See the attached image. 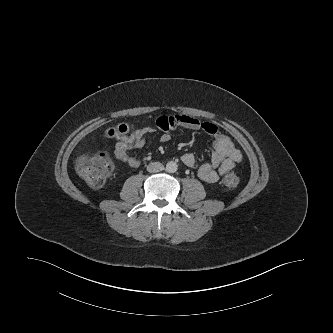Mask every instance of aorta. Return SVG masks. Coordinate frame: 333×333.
<instances>
[{
  "label": "aorta",
  "instance_id": "762f6f07",
  "mask_svg": "<svg viewBox=\"0 0 333 333\" xmlns=\"http://www.w3.org/2000/svg\"><path fill=\"white\" fill-rule=\"evenodd\" d=\"M178 169V165L176 162L174 161H169L167 164H166V171L168 173H175Z\"/></svg>",
  "mask_w": 333,
  "mask_h": 333
}]
</instances>
